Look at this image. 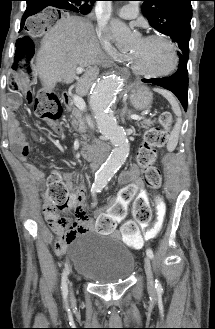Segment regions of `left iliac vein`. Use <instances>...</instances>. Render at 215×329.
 Listing matches in <instances>:
<instances>
[{
  "label": "left iliac vein",
  "instance_id": "obj_1",
  "mask_svg": "<svg viewBox=\"0 0 215 329\" xmlns=\"http://www.w3.org/2000/svg\"><path fill=\"white\" fill-rule=\"evenodd\" d=\"M144 268H145L146 277H147L148 289L150 292H155L154 277H153L152 266H151V261H150L149 257H145Z\"/></svg>",
  "mask_w": 215,
  "mask_h": 329
}]
</instances>
